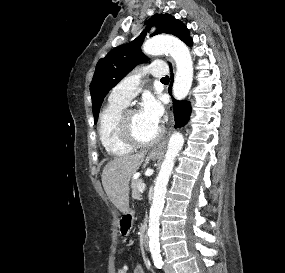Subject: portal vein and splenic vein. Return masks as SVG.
<instances>
[{
    "mask_svg": "<svg viewBox=\"0 0 285 273\" xmlns=\"http://www.w3.org/2000/svg\"><path fill=\"white\" fill-rule=\"evenodd\" d=\"M145 188H146L145 183H141V185H140V190H141V191H144V190H145Z\"/></svg>",
    "mask_w": 285,
    "mask_h": 273,
    "instance_id": "obj_1",
    "label": "portal vein and splenic vein"
}]
</instances>
